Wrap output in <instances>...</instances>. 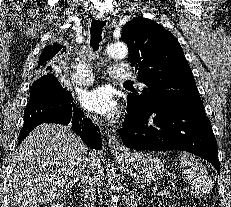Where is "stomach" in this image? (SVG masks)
I'll use <instances>...</instances> for the list:
<instances>
[{"instance_id": "stomach-1", "label": "stomach", "mask_w": 231, "mask_h": 207, "mask_svg": "<svg viewBox=\"0 0 231 207\" xmlns=\"http://www.w3.org/2000/svg\"><path fill=\"white\" fill-rule=\"evenodd\" d=\"M123 172L140 183H152L163 176L164 163L146 152H126L116 156Z\"/></svg>"}]
</instances>
